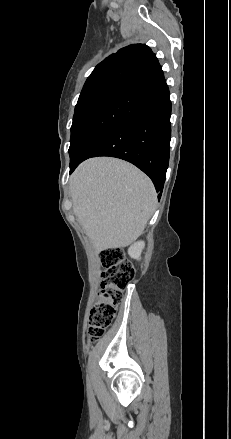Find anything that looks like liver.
<instances>
[{
  "mask_svg": "<svg viewBox=\"0 0 231 439\" xmlns=\"http://www.w3.org/2000/svg\"><path fill=\"white\" fill-rule=\"evenodd\" d=\"M73 212L97 253L135 241L154 213L152 181L134 165L98 157L81 163L70 181Z\"/></svg>",
  "mask_w": 231,
  "mask_h": 439,
  "instance_id": "6515ba94",
  "label": "liver"
}]
</instances>
